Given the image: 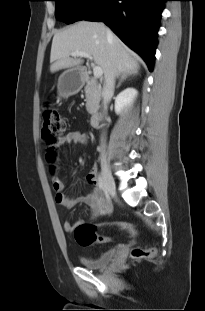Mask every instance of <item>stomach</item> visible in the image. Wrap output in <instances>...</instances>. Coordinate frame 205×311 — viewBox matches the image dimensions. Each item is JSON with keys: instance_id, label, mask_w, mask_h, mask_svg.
Segmentation results:
<instances>
[{"instance_id": "stomach-1", "label": "stomach", "mask_w": 205, "mask_h": 311, "mask_svg": "<svg viewBox=\"0 0 205 311\" xmlns=\"http://www.w3.org/2000/svg\"><path fill=\"white\" fill-rule=\"evenodd\" d=\"M84 82L81 69H68L58 79V93L61 97H68L78 93Z\"/></svg>"}]
</instances>
